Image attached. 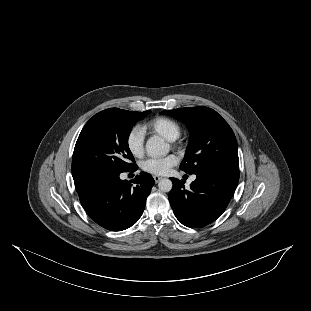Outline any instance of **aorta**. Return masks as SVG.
Instances as JSON below:
<instances>
[{
    "label": "aorta",
    "mask_w": 311,
    "mask_h": 311,
    "mask_svg": "<svg viewBox=\"0 0 311 311\" xmlns=\"http://www.w3.org/2000/svg\"><path fill=\"white\" fill-rule=\"evenodd\" d=\"M146 151L149 156L154 158L164 156L169 152V144L159 136H152L147 140ZM158 187L163 192H169L172 189V181L164 178L159 182Z\"/></svg>",
    "instance_id": "aorta-1"
}]
</instances>
